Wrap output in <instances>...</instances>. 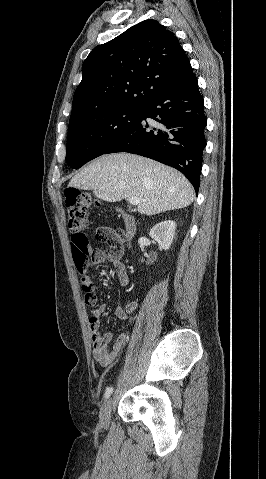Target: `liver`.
<instances>
[{"mask_svg": "<svg viewBox=\"0 0 266 479\" xmlns=\"http://www.w3.org/2000/svg\"><path fill=\"white\" fill-rule=\"evenodd\" d=\"M69 187L92 190L107 202L138 197V212L149 216L187 207L195 199L194 189L182 173L130 153L95 159L70 180Z\"/></svg>", "mask_w": 266, "mask_h": 479, "instance_id": "liver-1", "label": "liver"}]
</instances>
